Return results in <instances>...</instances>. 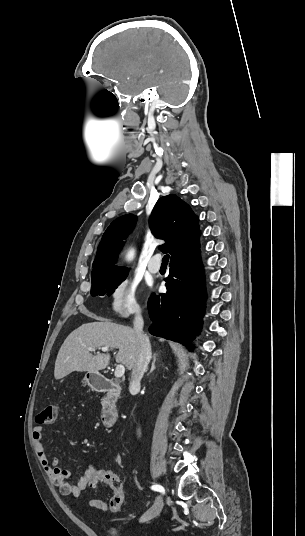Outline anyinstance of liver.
Listing matches in <instances>:
<instances>
[{
	"instance_id": "1",
	"label": "liver",
	"mask_w": 305,
	"mask_h": 536,
	"mask_svg": "<svg viewBox=\"0 0 305 536\" xmlns=\"http://www.w3.org/2000/svg\"><path fill=\"white\" fill-rule=\"evenodd\" d=\"M100 322L82 324L80 328L74 330L62 344L56 358L54 378L61 380L71 372H98L105 370L110 362V354H90L87 348L98 350L100 346L104 348H117V364H124L127 370L134 368L141 340H139L135 330L127 326H119L106 322L105 318H96Z\"/></svg>"
}]
</instances>
